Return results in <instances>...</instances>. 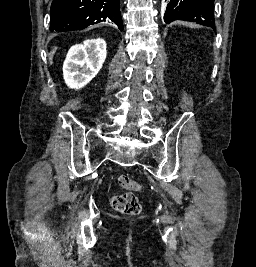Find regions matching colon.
Masks as SVG:
<instances>
[{"label": "colon", "mask_w": 256, "mask_h": 267, "mask_svg": "<svg viewBox=\"0 0 256 267\" xmlns=\"http://www.w3.org/2000/svg\"><path fill=\"white\" fill-rule=\"evenodd\" d=\"M118 182L125 189H138V185L131 180L129 175H120L118 178ZM134 195V193H124V195L120 194V196H113L110 201L111 207L119 214H138L141 211V205Z\"/></svg>", "instance_id": "obj_1"}]
</instances>
